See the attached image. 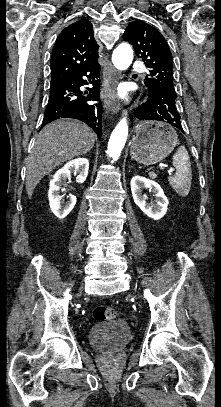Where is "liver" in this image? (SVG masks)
I'll list each match as a JSON object with an SVG mask.
<instances>
[{
	"mask_svg": "<svg viewBox=\"0 0 221 407\" xmlns=\"http://www.w3.org/2000/svg\"><path fill=\"white\" fill-rule=\"evenodd\" d=\"M95 133L84 123L61 119L47 124L36 137L26 164V192L29 198L40 180L53 169L90 151Z\"/></svg>",
	"mask_w": 221,
	"mask_h": 407,
	"instance_id": "liver-1",
	"label": "liver"
}]
</instances>
